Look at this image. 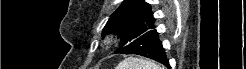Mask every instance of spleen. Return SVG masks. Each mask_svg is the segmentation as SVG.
<instances>
[{"instance_id": "1", "label": "spleen", "mask_w": 246, "mask_h": 69, "mask_svg": "<svg viewBox=\"0 0 246 69\" xmlns=\"http://www.w3.org/2000/svg\"><path fill=\"white\" fill-rule=\"evenodd\" d=\"M117 69H164L156 63L142 58L128 57L117 65Z\"/></svg>"}]
</instances>
